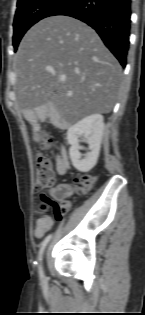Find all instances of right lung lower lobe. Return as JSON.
<instances>
[{
	"mask_svg": "<svg viewBox=\"0 0 145 315\" xmlns=\"http://www.w3.org/2000/svg\"><path fill=\"white\" fill-rule=\"evenodd\" d=\"M54 15L71 16L90 25L125 67L129 49L131 0H68L51 14Z\"/></svg>",
	"mask_w": 145,
	"mask_h": 315,
	"instance_id": "right-lung-lower-lobe-1",
	"label": "right lung lower lobe"
}]
</instances>
